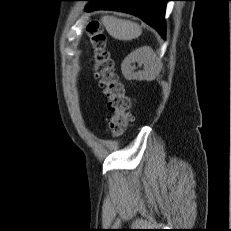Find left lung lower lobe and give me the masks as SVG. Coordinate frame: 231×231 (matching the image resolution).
Instances as JSON below:
<instances>
[{
    "instance_id": "1",
    "label": "left lung lower lobe",
    "mask_w": 231,
    "mask_h": 231,
    "mask_svg": "<svg viewBox=\"0 0 231 231\" xmlns=\"http://www.w3.org/2000/svg\"><path fill=\"white\" fill-rule=\"evenodd\" d=\"M89 1L86 11L116 10L133 14L153 27L165 38L164 14L166 2L171 0H80Z\"/></svg>"
}]
</instances>
